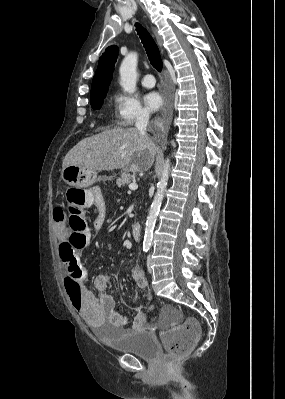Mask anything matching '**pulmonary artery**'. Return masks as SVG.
Instances as JSON below:
<instances>
[{
	"instance_id": "1",
	"label": "pulmonary artery",
	"mask_w": 285,
	"mask_h": 399,
	"mask_svg": "<svg viewBox=\"0 0 285 399\" xmlns=\"http://www.w3.org/2000/svg\"><path fill=\"white\" fill-rule=\"evenodd\" d=\"M141 84L146 88H152L155 85L154 76L151 73H146L141 79Z\"/></svg>"
}]
</instances>
